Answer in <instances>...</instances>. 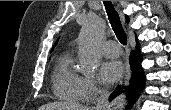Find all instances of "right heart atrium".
<instances>
[{
	"instance_id": "right-heart-atrium-1",
	"label": "right heart atrium",
	"mask_w": 171,
	"mask_h": 110,
	"mask_svg": "<svg viewBox=\"0 0 171 110\" xmlns=\"http://www.w3.org/2000/svg\"><path fill=\"white\" fill-rule=\"evenodd\" d=\"M84 84L87 99L95 97L96 95L100 94L103 90L96 82V80L92 78H84Z\"/></svg>"
}]
</instances>
